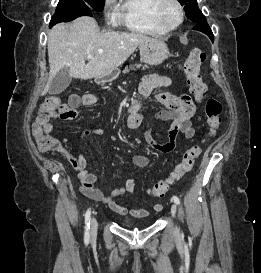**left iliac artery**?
I'll return each mask as SVG.
<instances>
[{"instance_id":"left-iliac-artery-1","label":"left iliac artery","mask_w":261,"mask_h":273,"mask_svg":"<svg viewBox=\"0 0 261 273\" xmlns=\"http://www.w3.org/2000/svg\"><path fill=\"white\" fill-rule=\"evenodd\" d=\"M172 200L178 205V204H180V200H179V198L177 197V196H173L172 197Z\"/></svg>"}]
</instances>
